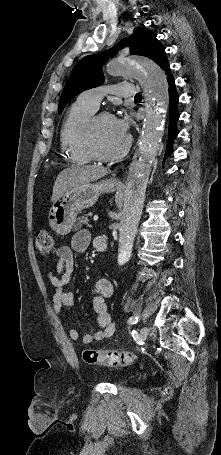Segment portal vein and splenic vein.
I'll return each mask as SVG.
<instances>
[{"mask_svg":"<svg viewBox=\"0 0 221 455\" xmlns=\"http://www.w3.org/2000/svg\"><path fill=\"white\" fill-rule=\"evenodd\" d=\"M93 219H94V221H97L98 220V215H95Z\"/></svg>","mask_w":221,"mask_h":455,"instance_id":"obj_1","label":"portal vein and splenic vein"}]
</instances>
